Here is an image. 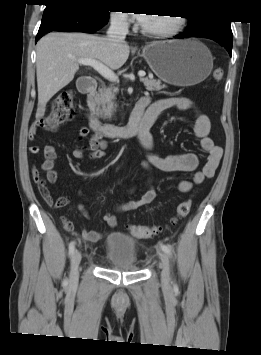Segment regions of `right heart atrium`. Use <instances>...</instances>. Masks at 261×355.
I'll return each instance as SVG.
<instances>
[{"label":"right heart atrium","instance_id":"1","mask_svg":"<svg viewBox=\"0 0 261 355\" xmlns=\"http://www.w3.org/2000/svg\"><path fill=\"white\" fill-rule=\"evenodd\" d=\"M112 24L117 28H127L129 19L126 13L122 11H115L110 14Z\"/></svg>","mask_w":261,"mask_h":355}]
</instances>
